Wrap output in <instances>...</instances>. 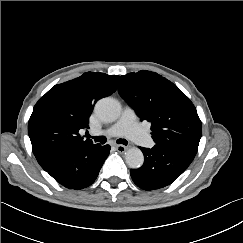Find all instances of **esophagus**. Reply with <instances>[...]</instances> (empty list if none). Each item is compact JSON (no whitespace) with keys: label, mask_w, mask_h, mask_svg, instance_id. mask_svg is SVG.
Here are the masks:
<instances>
[{"label":"esophagus","mask_w":243,"mask_h":243,"mask_svg":"<svg viewBox=\"0 0 243 243\" xmlns=\"http://www.w3.org/2000/svg\"><path fill=\"white\" fill-rule=\"evenodd\" d=\"M115 148L120 153H123V152H125L127 150V147L123 146V145H115Z\"/></svg>","instance_id":"1"}]
</instances>
